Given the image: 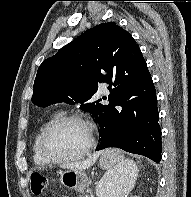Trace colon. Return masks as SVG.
<instances>
[{
	"label": "colon",
	"instance_id": "colon-1",
	"mask_svg": "<svg viewBox=\"0 0 191 197\" xmlns=\"http://www.w3.org/2000/svg\"><path fill=\"white\" fill-rule=\"evenodd\" d=\"M31 189L35 195L43 193L48 184V179L40 173H32L30 176Z\"/></svg>",
	"mask_w": 191,
	"mask_h": 197
}]
</instances>
